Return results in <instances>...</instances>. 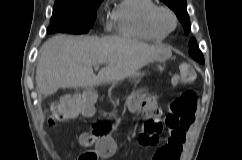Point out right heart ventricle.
Here are the masks:
<instances>
[{
	"label": "right heart ventricle",
	"instance_id": "e07e8e85",
	"mask_svg": "<svg viewBox=\"0 0 242 160\" xmlns=\"http://www.w3.org/2000/svg\"><path fill=\"white\" fill-rule=\"evenodd\" d=\"M157 7L154 0H119L110 15V25L123 37L160 42L166 33L153 26L151 13Z\"/></svg>",
	"mask_w": 242,
	"mask_h": 160
}]
</instances>
